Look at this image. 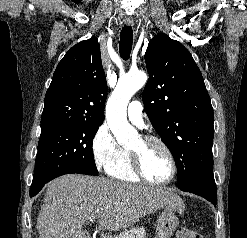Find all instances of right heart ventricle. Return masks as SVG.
Returning <instances> with one entry per match:
<instances>
[{"label":"right heart ventricle","instance_id":"right-heart-ventricle-1","mask_svg":"<svg viewBox=\"0 0 247 238\" xmlns=\"http://www.w3.org/2000/svg\"><path fill=\"white\" fill-rule=\"evenodd\" d=\"M109 177L128 183H137L140 179L135 174L129 151L121 149V153L117 160L107 170Z\"/></svg>","mask_w":247,"mask_h":238}]
</instances>
